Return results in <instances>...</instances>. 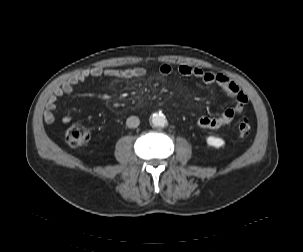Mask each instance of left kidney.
Here are the masks:
<instances>
[{
    "mask_svg": "<svg viewBox=\"0 0 303 252\" xmlns=\"http://www.w3.org/2000/svg\"><path fill=\"white\" fill-rule=\"evenodd\" d=\"M206 141L208 145L213 146L215 148H220L225 145V141L222 138L215 136L207 137Z\"/></svg>",
    "mask_w": 303,
    "mask_h": 252,
    "instance_id": "5707ae66",
    "label": "left kidney"
}]
</instances>
